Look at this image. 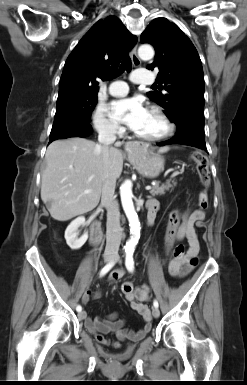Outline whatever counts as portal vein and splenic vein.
Listing matches in <instances>:
<instances>
[{
    "label": "portal vein and splenic vein",
    "mask_w": 247,
    "mask_h": 385,
    "mask_svg": "<svg viewBox=\"0 0 247 385\" xmlns=\"http://www.w3.org/2000/svg\"><path fill=\"white\" fill-rule=\"evenodd\" d=\"M177 172L174 173V175H176ZM151 189V186H146V190H150ZM91 191L90 190H85V193H90Z\"/></svg>",
    "instance_id": "18ae733b"
}]
</instances>
